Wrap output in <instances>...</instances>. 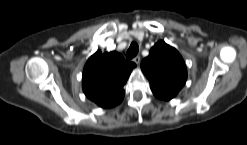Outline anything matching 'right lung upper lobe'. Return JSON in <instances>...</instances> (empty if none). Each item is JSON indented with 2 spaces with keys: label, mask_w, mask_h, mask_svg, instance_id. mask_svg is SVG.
Here are the masks:
<instances>
[{
  "label": "right lung upper lobe",
  "mask_w": 247,
  "mask_h": 145,
  "mask_svg": "<svg viewBox=\"0 0 247 145\" xmlns=\"http://www.w3.org/2000/svg\"><path fill=\"white\" fill-rule=\"evenodd\" d=\"M135 63L113 51L93 54L84 67L82 85L85 95L103 108L118 105L124 98L123 86Z\"/></svg>",
  "instance_id": "right-lung-upper-lobe-1"
}]
</instances>
